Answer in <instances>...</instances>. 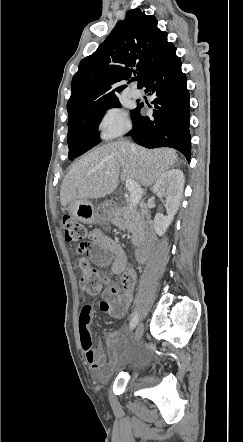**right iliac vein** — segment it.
<instances>
[{"mask_svg":"<svg viewBox=\"0 0 243 442\" xmlns=\"http://www.w3.org/2000/svg\"><path fill=\"white\" fill-rule=\"evenodd\" d=\"M142 335H143V325H142V323H140V324H138V326L135 330V333L133 335V340L135 342H138L141 339Z\"/></svg>","mask_w":243,"mask_h":442,"instance_id":"right-iliac-vein-1","label":"right iliac vein"}]
</instances>
